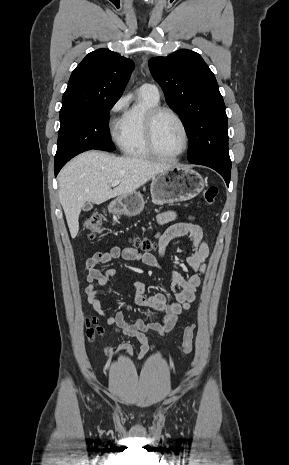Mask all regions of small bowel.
Listing matches in <instances>:
<instances>
[{
	"label": "small bowel",
	"mask_w": 289,
	"mask_h": 465,
	"mask_svg": "<svg viewBox=\"0 0 289 465\" xmlns=\"http://www.w3.org/2000/svg\"><path fill=\"white\" fill-rule=\"evenodd\" d=\"M158 222L161 225L174 222V224L156 235L159 242V259L149 253L140 252L136 248L128 247L121 249L119 247H112L108 251L96 252L86 263L87 286L85 288V293L88 302L107 324L116 326L117 333L138 340L141 347V356L145 355L149 350L156 348V345L149 343L146 336L147 331L153 330L160 335L167 334L174 328L178 316L184 310L190 308L191 303L196 298L197 289L202 284V276L205 272L206 260L209 256L207 240L204 237L202 228L194 222L193 216L182 214L177 211H169L160 214L158 216ZM187 234L191 236L193 243V249L187 257V263L193 269L194 273L185 277L176 271L171 272V292L174 301L168 302L163 293H155L148 296L146 295V284L144 282L134 281L132 283L135 291L134 303L138 306L150 308L153 311H162V319L156 322L135 318L132 322H127L122 310L117 311L114 315H108L106 313V308L113 306V303L104 306L101 303L97 287L106 285L117 272L114 269H108L102 272L98 266L107 264L114 259L122 258L126 261H139L145 265L159 268L161 266V261L165 257L168 245L174 239ZM104 351L109 360L123 351H126L130 355L133 354V348L128 343L121 344L116 350L106 345Z\"/></svg>",
	"instance_id": "c3829d8e"
}]
</instances>
